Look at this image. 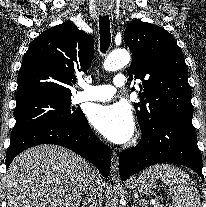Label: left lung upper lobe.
Returning <instances> with one entry per match:
<instances>
[{
  "instance_id": "5c2ea615",
  "label": "left lung upper lobe",
  "mask_w": 206,
  "mask_h": 207,
  "mask_svg": "<svg viewBox=\"0 0 206 207\" xmlns=\"http://www.w3.org/2000/svg\"><path fill=\"white\" fill-rule=\"evenodd\" d=\"M124 41L132 52L129 78L142 80L144 93L141 103L135 104L142 132L165 117H192L188 69L172 35L159 26L132 21Z\"/></svg>"
}]
</instances>
